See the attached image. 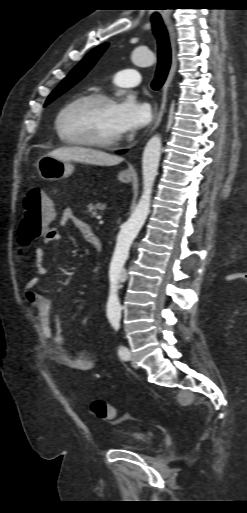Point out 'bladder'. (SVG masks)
<instances>
[{
  "label": "bladder",
  "mask_w": 247,
  "mask_h": 513,
  "mask_svg": "<svg viewBox=\"0 0 247 513\" xmlns=\"http://www.w3.org/2000/svg\"><path fill=\"white\" fill-rule=\"evenodd\" d=\"M152 438L139 431L123 432L109 446V450H130V451H148L152 448Z\"/></svg>",
  "instance_id": "bladder-1"
}]
</instances>
